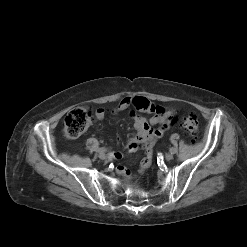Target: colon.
Returning a JSON list of instances; mask_svg holds the SVG:
<instances>
[{
  "instance_id": "1",
  "label": "colon",
  "mask_w": 247,
  "mask_h": 247,
  "mask_svg": "<svg viewBox=\"0 0 247 247\" xmlns=\"http://www.w3.org/2000/svg\"><path fill=\"white\" fill-rule=\"evenodd\" d=\"M92 111L88 108L77 107L66 116L63 133L68 139L78 138L89 126ZM181 126L188 136L195 141L198 136V118L194 113H187L181 118Z\"/></svg>"
}]
</instances>
